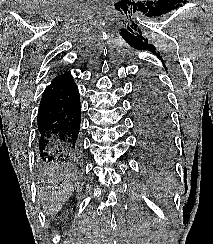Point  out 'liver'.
Returning a JSON list of instances; mask_svg holds the SVG:
<instances>
[{
  "mask_svg": "<svg viewBox=\"0 0 213 244\" xmlns=\"http://www.w3.org/2000/svg\"><path fill=\"white\" fill-rule=\"evenodd\" d=\"M38 190V202L47 216L59 212L68 201L76 186V177L69 171H48L41 176Z\"/></svg>",
  "mask_w": 213,
  "mask_h": 244,
  "instance_id": "1",
  "label": "liver"
}]
</instances>
